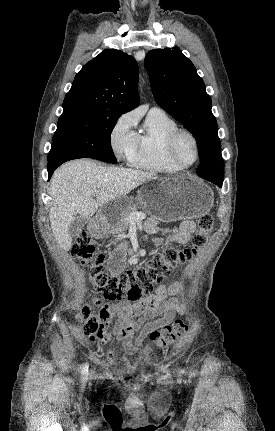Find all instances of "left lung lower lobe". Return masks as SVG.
Returning <instances> with one entry per match:
<instances>
[{
  "instance_id": "obj_1",
  "label": "left lung lower lobe",
  "mask_w": 275,
  "mask_h": 431,
  "mask_svg": "<svg viewBox=\"0 0 275 431\" xmlns=\"http://www.w3.org/2000/svg\"><path fill=\"white\" fill-rule=\"evenodd\" d=\"M199 176V175H198ZM201 178H204L210 182L215 183L216 185H218L219 187H222V183H223V177L218 176L216 174H207V175H202L200 176Z\"/></svg>"
}]
</instances>
